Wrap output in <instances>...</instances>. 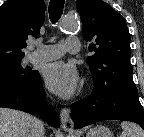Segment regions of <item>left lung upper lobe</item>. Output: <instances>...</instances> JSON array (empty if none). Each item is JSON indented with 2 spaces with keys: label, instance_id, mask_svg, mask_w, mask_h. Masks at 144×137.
I'll return each mask as SVG.
<instances>
[{
  "label": "left lung upper lobe",
  "instance_id": "5c2ea615",
  "mask_svg": "<svg viewBox=\"0 0 144 137\" xmlns=\"http://www.w3.org/2000/svg\"><path fill=\"white\" fill-rule=\"evenodd\" d=\"M83 38L90 41L87 57L95 92L136 90L130 65V35L125 19L101 0H78Z\"/></svg>",
  "mask_w": 144,
  "mask_h": 137
}]
</instances>
